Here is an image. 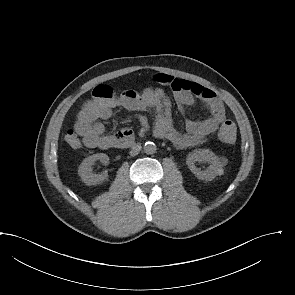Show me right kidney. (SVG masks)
Wrapping results in <instances>:
<instances>
[{
	"mask_svg": "<svg viewBox=\"0 0 295 295\" xmlns=\"http://www.w3.org/2000/svg\"><path fill=\"white\" fill-rule=\"evenodd\" d=\"M97 160H100L102 163L107 164L109 161V157L104 153L93 154L85 158L79 166L78 174L81 177L82 181L88 186L100 184L108 177L107 173L94 174L92 172V165Z\"/></svg>",
	"mask_w": 295,
	"mask_h": 295,
	"instance_id": "1",
	"label": "right kidney"
}]
</instances>
